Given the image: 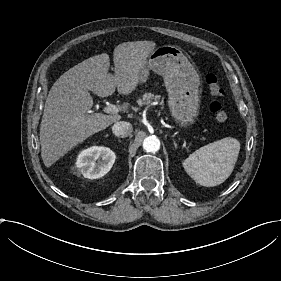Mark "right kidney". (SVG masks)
Here are the masks:
<instances>
[{
    "label": "right kidney",
    "instance_id": "right-kidney-1",
    "mask_svg": "<svg viewBox=\"0 0 281 281\" xmlns=\"http://www.w3.org/2000/svg\"><path fill=\"white\" fill-rule=\"evenodd\" d=\"M102 161L96 162L98 158ZM115 153L105 146L93 145L78 152L74 162L77 173L89 179L104 176L115 162Z\"/></svg>",
    "mask_w": 281,
    "mask_h": 281
}]
</instances>
